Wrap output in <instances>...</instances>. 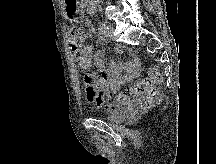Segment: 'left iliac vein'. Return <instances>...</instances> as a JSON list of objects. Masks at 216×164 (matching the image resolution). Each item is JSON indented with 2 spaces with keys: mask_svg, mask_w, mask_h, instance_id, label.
<instances>
[{
  "mask_svg": "<svg viewBox=\"0 0 216 164\" xmlns=\"http://www.w3.org/2000/svg\"><path fill=\"white\" fill-rule=\"evenodd\" d=\"M108 31H107V37H109L110 39H113V32H114V27L111 25H108Z\"/></svg>",
  "mask_w": 216,
  "mask_h": 164,
  "instance_id": "1",
  "label": "left iliac vein"
}]
</instances>
